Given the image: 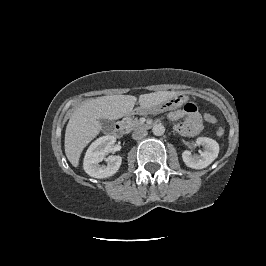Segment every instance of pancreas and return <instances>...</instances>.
Returning <instances> with one entry per match:
<instances>
[{
  "label": "pancreas",
  "mask_w": 266,
  "mask_h": 266,
  "mask_svg": "<svg viewBox=\"0 0 266 266\" xmlns=\"http://www.w3.org/2000/svg\"><path fill=\"white\" fill-rule=\"evenodd\" d=\"M126 123H127V126L130 130L133 128H137V127L142 125L141 122L137 119H128L126 121Z\"/></svg>",
  "instance_id": "pancreas-1"
}]
</instances>
